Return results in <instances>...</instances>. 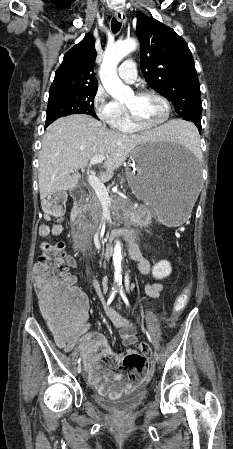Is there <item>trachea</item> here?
<instances>
[{
	"mask_svg": "<svg viewBox=\"0 0 233 449\" xmlns=\"http://www.w3.org/2000/svg\"><path fill=\"white\" fill-rule=\"evenodd\" d=\"M121 28V23L116 20V18H113L111 21V29L113 33H117Z\"/></svg>",
	"mask_w": 233,
	"mask_h": 449,
	"instance_id": "1",
	"label": "trachea"
}]
</instances>
